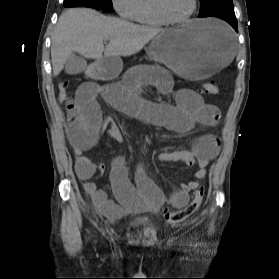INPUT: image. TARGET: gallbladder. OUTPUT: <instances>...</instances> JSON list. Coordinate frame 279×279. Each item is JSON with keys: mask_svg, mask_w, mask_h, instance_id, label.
I'll return each mask as SVG.
<instances>
[{"mask_svg": "<svg viewBox=\"0 0 279 279\" xmlns=\"http://www.w3.org/2000/svg\"><path fill=\"white\" fill-rule=\"evenodd\" d=\"M87 68L86 60L81 56L72 55L65 64V72L69 75L79 74Z\"/></svg>", "mask_w": 279, "mask_h": 279, "instance_id": "bac80fb5", "label": "gallbladder"}]
</instances>
